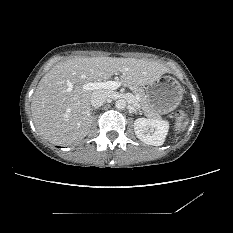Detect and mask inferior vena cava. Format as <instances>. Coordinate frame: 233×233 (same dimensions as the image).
Masks as SVG:
<instances>
[{
  "mask_svg": "<svg viewBox=\"0 0 233 233\" xmlns=\"http://www.w3.org/2000/svg\"><path fill=\"white\" fill-rule=\"evenodd\" d=\"M110 97V93L107 90H97L91 95V105L93 107H100Z\"/></svg>",
  "mask_w": 233,
  "mask_h": 233,
  "instance_id": "obj_1",
  "label": "inferior vena cava"
}]
</instances>
